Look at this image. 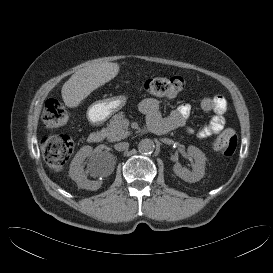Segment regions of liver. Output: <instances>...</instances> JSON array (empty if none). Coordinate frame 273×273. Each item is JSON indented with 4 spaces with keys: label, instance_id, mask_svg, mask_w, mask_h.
Instances as JSON below:
<instances>
[{
    "label": "liver",
    "instance_id": "obj_1",
    "mask_svg": "<svg viewBox=\"0 0 273 273\" xmlns=\"http://www.w3.org/2000/svg\"><path fill=\"white\" fill-rule=\"evenodd\" d=\"M118 63L104 62L81 68L62 86L61 94L67 107H77L92 91L115 78Z\"/></svg>",
    "mask_w": 273,
    "mask_h": 273
}]
</instances>
